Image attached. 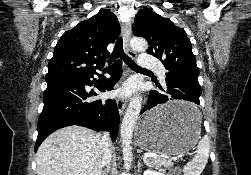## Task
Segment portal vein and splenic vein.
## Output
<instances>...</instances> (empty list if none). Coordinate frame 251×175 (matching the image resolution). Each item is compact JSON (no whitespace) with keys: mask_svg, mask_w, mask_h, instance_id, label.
I'll return each mask as SVG.
<instances>
[{"mask_svg":"<svg viewBox=\"0 0 251 175\" xmlns=\"http://www.w3.org/2000/svg\"><path fill=\"white\" fill-rule=\"evenodd\" d=\"M144 157L163 158L164 160H171L172 162L186 161V158L174 155L173 153H144ZM84 175H87V173H84Z\"/></svg>","mask_w":251,"mask_h":175,"instance_id":"18ae733b","label":"portal vein and splenic vein"}]
</instances>
